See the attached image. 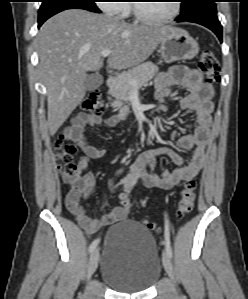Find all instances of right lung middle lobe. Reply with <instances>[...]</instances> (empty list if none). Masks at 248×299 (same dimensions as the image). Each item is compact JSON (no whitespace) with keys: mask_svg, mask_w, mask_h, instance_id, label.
I'll list each match as a JSON object with an SVG mask.
<instances>
[{"mask_svg":"<svg viewBox=\"0 0 248 299\" xmlns=\"http://www.w3.org/2000/svg\"><path fill=\"white\" fill-rule=\"evenodd\" d=\"M71 8H80L96 13L101 12L96 6L95 0H42L39 9V20Z\"/></svg>","mask_w":248,"mask_h":299,"instance_id":"1","label":"right lung middle lobe"}]
</instances>
